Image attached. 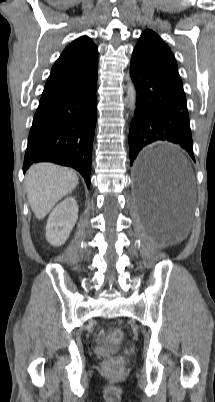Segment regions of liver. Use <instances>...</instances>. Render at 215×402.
<instances>
[{"label":"liver","instance_id":"liver-1","mask_svg":"<svg viewBox=\"0 0 215 402\" xmlns=\"http://www.w3.org/2000/svg\"><path fill=\"white\" fill-rule=\"evenodd\" d=\"M78 184L73 169L52 163L32 165L25 175L28 203L37 219H43Z\"/></svg>","mask_w":215,"mask_h":402}]
</instances>
